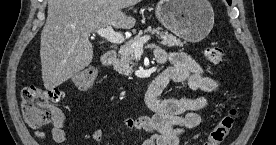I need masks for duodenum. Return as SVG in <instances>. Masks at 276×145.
<instances>
[{"label": "duodenum", "mask_w": 276, "mask_h": 145, "mask_svg": "<svg viewBox=\"0 0 276 145\" xmlns=\"http://www.w3.org/2000/svg\"><path fill=\"white\" fill-rule=\"evenodd\" d=\"M117 58V52L114 49L107 50L102 57V62L105 66H111ZM159 62H162V58H158ZM167 84V80L163 79L161 76L157 77L155 79V86L158 89L164 88V86Z\"/></svg>", "instance_id": "duodenum-1"}]
</instances>
